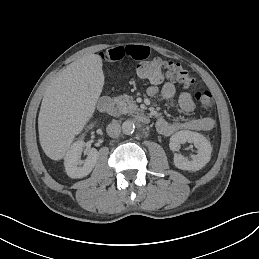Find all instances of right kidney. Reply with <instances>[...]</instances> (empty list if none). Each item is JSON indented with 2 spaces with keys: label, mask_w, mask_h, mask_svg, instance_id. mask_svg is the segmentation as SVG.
<instances>
[{
  "label": "right kidney",
  "mask_w": 259,
  "mask_h": 259,
  "mask_svg": "<svg viewBox=\"0 0 259 259\" xmlns=\"http://www.w3.org/2000/svg\"><path fill=\"white\" fill-rule=\"evenodd\" d=\"M83 153H87V158L81 161ZM98 151L95 148L88 147L86 142L79 141L70 149L65 166L68 176L74 179L86 177L93 170L98 160Z\"/></svg>",
  "instance_id": "right-kidney-1"
}]
</instances>
